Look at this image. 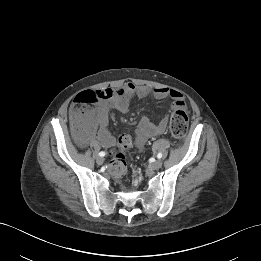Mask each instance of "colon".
Returning a JSON list of instances; mask_svg holds the SVG:
<instances>
[{
	"label": "colon",
	"mask_w": 261,
	"mask_h": 261,
	"mask_svg": "<svg viewBox=\"0 0 261 261\" xmlns=\"http://www.w3.org/2000/svg\"><path fill=\"white\" fill-rule=\"evenodd\" d=\"M92 104L85 99V95H79L71 105L72 119L75 125L82 126L84 118L93 112ZM170 131L174 138L182 140L188 131V115L184 110L176 111L170 120ZM133 145L132 138L127 134L119 136L115 148L110 155L112 161L110 171L116 176H121L126 172L127 162L124 152L129 150Z\"/></svg>",
	"instance_id": "obj_1"
}]
</instances>
